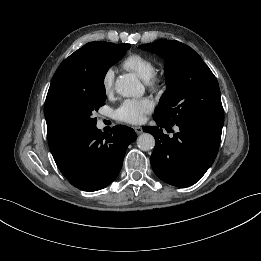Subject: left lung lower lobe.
Wrapping results in <instances>:
<instances>
[{"label":"left lung lower lobe","mask_w":261,"mask_h":261,"mask_svg":"<svg viewBox=\"0 0 261 261\" xmlns=\"http://www.w3.org/2000/svg\"><path fill=\"white\" fill-rule=\"evenodd\" d=\"M159 127L166 125L154 119ZM172 138L158 127H145L155 138L150 157L154 173L164 182L187 187L195 184L209 169L218 152L223 121H199L178 124Z\"/></svg>","instance_id":"obj_1"}]
</instances>
